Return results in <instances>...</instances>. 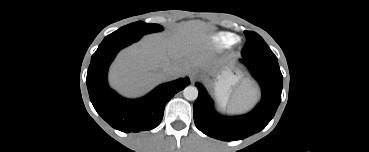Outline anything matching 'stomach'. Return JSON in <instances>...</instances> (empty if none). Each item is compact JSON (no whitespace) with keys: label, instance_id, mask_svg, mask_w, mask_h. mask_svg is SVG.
Returning a JSON list of instances; mask_svg holds the SVG:
<instances>
[{"label":"stomach","instance_id":"obj_1","mask_svg":"<svg viewBox=\"0 0 369 152\" xmlns=\"http://www.w3.org/2000/svg\"><path fill=\"white\" fill-rule=\"evenodd\" d=\"M237 79L238 76L234 75L229 69L224 70L218 77V80L215 83V94L221 107H225L230 88L237 81Z\"/></svg>","mask_w":369,"mask_h":152}]
</instances>
